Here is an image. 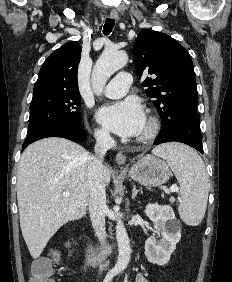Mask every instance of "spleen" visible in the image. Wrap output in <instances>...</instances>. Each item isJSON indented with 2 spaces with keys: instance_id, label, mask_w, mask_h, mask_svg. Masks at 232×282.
Listing matches in <instances>:
<instances>
[{
  "instance_id": "spleen-1",
  "label": "spleen",
  "mask_w": 232,
  "mask_h": 282,
  "mask_svg": "<svg viewBox=\"0 0 232 282\" xmlns=\"http://www.w3.org/2000/svg\"><path fill=\"white\" fill-rule=\"evenodd\" d=\"M152 153L167 160L180 184L181 219L190 226L199 225L208 200V175L203 160L190 147L177 143L158 146Z\"/></svg>"
}]
</instances>
